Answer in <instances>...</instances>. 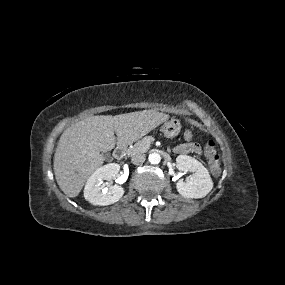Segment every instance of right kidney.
Returning a JSON list of instances; mask_svg holds the SVG:
<instances>
[{"instance_id": "1", "label": "right kidney", "mask_w": 285, "mask_h": 285, "mask_svg": "<svg viewBox=\"0 0 285 285\" xmlns=\"http://www.w3.org/2000/svg\"><path fill=\"white\" fill-rule=\"evenodd\" d=\"M120 170L119 164L110 163L98 168L87 180L84 198L93 205L106 206L120 200L124 189L119 185L105 187L104 180L110 181Z\"/></svg>"}]
</instances>
